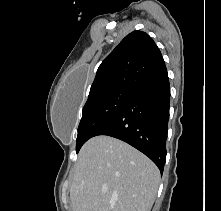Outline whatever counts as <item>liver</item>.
<instances>
[{"mask_svg": "<svg viewBox=\"0 0 221 211\" xmlns=\"http://www.w3.org/2000/svg\"><path fill=\"white\" fill-rule=\"evenodd\" d=\"M160 182L157 166L109 136L88 140L78 154L70 199L73 211H150Z\"/></svg>", "mask_w": 221, "mask_h": 211, "instance_id": "liver-1", "label": "liver"}]
</instances>
